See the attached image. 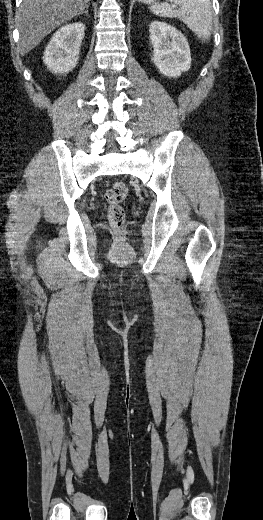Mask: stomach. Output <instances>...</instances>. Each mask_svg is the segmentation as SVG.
Returning <instances> with one entry per match:
<instances>
[{
  "label": "stomach",
  "mask_w": 263,
  "mask_h": 520,
  "mask_svg": "<svg viewBox=\"0 0 263 520\" xmlns=\"http://www.w3.org/2000/svg\"><path fill=\"white\" fill-rule=\"evenodd\" d=\"M139 2H142V3H148V2H151L152 0H138Z\"/></svg>",
  "instance_id": "1"
}]
</instances>
